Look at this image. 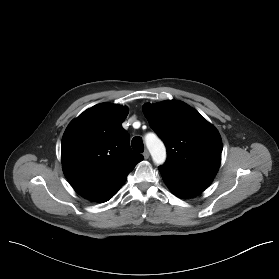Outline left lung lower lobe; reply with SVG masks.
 I'll list each match as a JSON object with an SVG mask.
<instances>
[{"instance_id":"0a47b994","label":"left lung lower lobe","mask_w":279,"mask_h":279,"mask_svg":"<svg viewBox=\"0 0 279 279\" xmlns=\"http://www.w3.org/2000/svg\"><path fill=\"white\" fill-rule=\"evenodd\" d=\"M159 171L169 189L180 198L196 196L205 190L212 182V180L209 179L184 176L163 167H159Z\"/></svg>"}]
</instances>
